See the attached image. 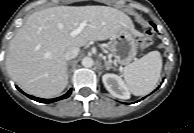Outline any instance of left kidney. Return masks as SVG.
<instances>
[{
	"instance_id": "5707ae66",
	"label": "left kidney",
	"mask_w": 194,
	"mask_h": 133,
	"mask_svg": "<svg viewBox=\"0 0 194 133\" xmlns=\"http://www.w3.org/2000/svg\"><path fill=\"white\" fill-rule=\"evenodd\" d=\"M102 81L106 89L111 95L120 99H129L130 93L126 87L124 81L120 76L116 74H105L102 77Z\"/></svg>"
}]
</instances>
